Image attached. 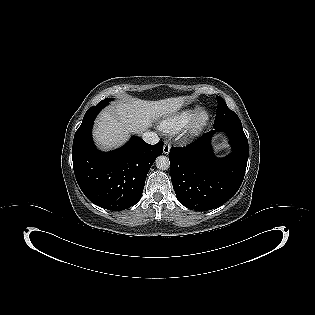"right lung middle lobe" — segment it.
Wrapping results in <instances>:
<instances>
[{
  "label": "right lung middle lobe",
  "mask_w": 315,
  "mask_h": 315,
  "mask_svg": "<svg viewBox=\"0 0 315 315\" xmlns=\"http://www.w3.org/2000/svg\"><path fill=\"white\" fill-rule=\"evenodd\" d=\"M111 100H112V98H106L105 100H102L101 102H109Z\"/></svg>",
  "instance_id": "1"
}]
</instances>
